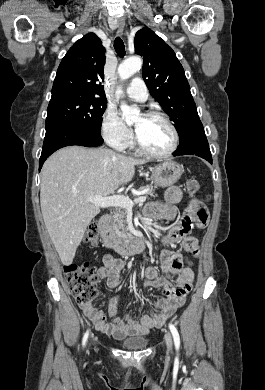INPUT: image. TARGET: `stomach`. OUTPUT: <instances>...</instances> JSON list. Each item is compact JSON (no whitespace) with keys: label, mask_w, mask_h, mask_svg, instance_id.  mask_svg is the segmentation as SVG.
Returning a JSON list of instances; mask_svg holds the SVG:
<instances>
[{"label":"stomach","mask_w":265,"mask_h":390,"mask_svg":"<svg viewBox=\"0 0 265 390\" xmlns=\"http://www.w3.org/2000/svg\"><path fill=\"white\" fill-rule=\"evenodd\" d=\"M151 180L156 187H168L176 183L183 173V167L176 162L166 161L152 168Z\"/></svg>","instance_id":"1"}]
</instances>
